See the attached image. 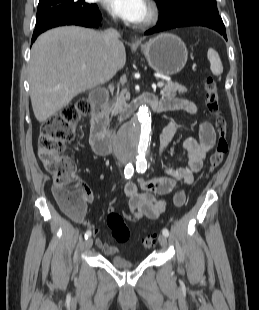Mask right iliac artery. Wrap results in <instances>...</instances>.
<instances>
[{"label":"right iliac artery","mask_w":259,"mask_h":310,"mask_svg":"<svg viewBox=\"0 0 259 310\" xmlns=\"http://www.w3.org/2000/svg\"><path fill=\"white\" fill-rule=\"evenodd\" d=\"M133 173H134L133 165L131 163L127 164V166L125 167V170H124L125 178L126 179L131 178ZM90 236H91V231L90 230L86 231L85 239H88Z\"/></svg>","instance_id":"1"}]
</instances>
